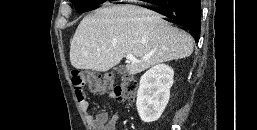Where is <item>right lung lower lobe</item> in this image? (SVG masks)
<instances>
[{"instance_id":"right-lung-lower-lobe-1","label":"right lung lower lobe","mask_w":257,"mask_h":130,"mask_svg":"<svg viewBox=\"0 0 257 130\" xmlns=\"http://www.w3.org/2000/svg\"><path fill=\"white\" fill-rule=\"evenodd\" d=\"M162 15L167 21L182 26L199 41L201 29V0H168L160 4Z\"/></svg>"}]
</instances>
